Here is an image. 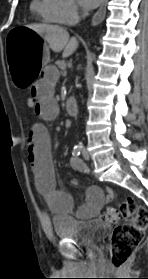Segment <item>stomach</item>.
<instances>
[{"label": "stomach", "instance_id": "stomach-1", "mask_svg": "<svg viewBox=\"0 0 148 279\" xmlns=\"http://www.w3.org/2000/svg\"><path fill=\"white\" fill-rule=\"evenodd\" d=\"M6 49L9 55V79H13L12 86L15 91H30L40 75L41 67L49 60V49L42 36L32 30V25H13L4 35Z\"/></svg>", "mask_w": 148, "mask_h": 279}]
</instances>
